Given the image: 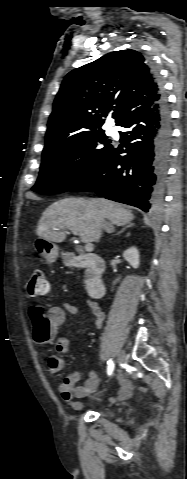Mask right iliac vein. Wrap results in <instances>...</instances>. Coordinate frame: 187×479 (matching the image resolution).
I'll list each match as a JSON object with an SVG mask.
<instances>
[{
	"mask_svg": "<svg viewBox=\"0 0 187 479\" xmlns=\"http://www.w3.org/2000/svg\"><path fill=\"white\" fill-rule=\"evenodd\" d=\"M125 360H126V354H125V352H124V351H120V352L118 353V361H119V363H124Z\"/></svg>",
	"mask_w": 187,
	"mask_h": 479,
	"instance_id": "63e3f726",
	"label": "right iliac vein"
}]
</instances>
